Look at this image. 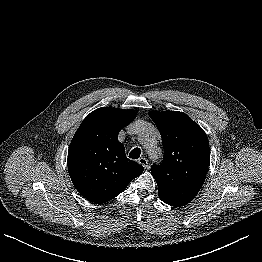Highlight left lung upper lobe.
<instances>
[{
    "mask_svg": "<svg viewBox=\"0 0 262 262\" xmlns=\"http://www.w3.org/2000/svg\"><path fill=\"white\" fill-rule=\"evenodd\" d=\"M163 142L161 165L151 173L160 199L171 206L188 204L199 192L210 163L208 137L188 115L179 111H150Z\"/></svg>",
    "mask_w": 262,
    "mask_h": 262,
    "instance_id": "left-lung-upper-lobe-1",
    "label": "left lung upper lobe"
}]
</instances>
